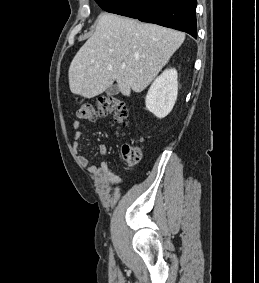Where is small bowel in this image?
<instances>
[{"instance_id":"small-bowel-1","label":"small bowel","mask_w":259,"mask_h":283,"mask_svg":"<svg viewBox=\"0 0 259 283\" xmlns=\"http://www.w3.org/2000/svg\"><path fill=\"white\" fill-rule=\"evenodd\" d=\"M74 129L73 139H74V149L78 151L80 149L79 140L82 137L80 131L81 122L79 120H74L72 123ZM99 153L102 156L108 154V149L105 145L99 147ZM77 162L83 166L90 174L94 175L96 181L100 187L108 186H118L121 184V179L115 175L107 162H101L99 165L91 164L87 157L83 155H77Z\"/></svg>"}]
</instances>
